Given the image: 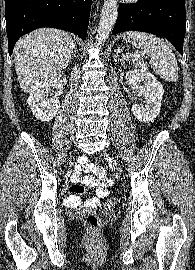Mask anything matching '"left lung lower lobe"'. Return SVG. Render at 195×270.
I'll return each instance as SVG.
<instances>
[{
    "instance_id": "0a47b994",
    "label": "left lung lower lobe",
    "mask_w": 195,
    "mask_h": 270,
    "mask_svg": "<svg viewBox=\"0 0 195 270\" xmlns=\"http://www.w3.org/2000/svg\"><path fill=\"white\" fill-rule=\"evenodd\" d=\"M142 31L168 39L183 55L185 0H139L120 4L112 34Z\"/></svg>"
}]
</instances>
